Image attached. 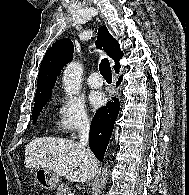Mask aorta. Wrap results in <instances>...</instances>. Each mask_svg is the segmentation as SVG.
I'll list each match as a JSON object with an SVG mask.
<instances>
[{
    "label": "aorta",
    "mask_w": 189,
    "mask_h": 195,
    "mask_svg": "<svg viewBox=\"0 0 189 195\" xmlns=\"http://www.w3.org/2000/svg\"><path fill=\"white\" fill-rule=\"evenodd\" d=\"M82 75L83 69L79 62H71L66 66L62 80L64 89L68 95L79 93L82 85ZM107 169L108 167L104 168L102 173V186H105L107 182Z\"/></svg>",
    "instance_id": "obj_1"
}]
</instances>
